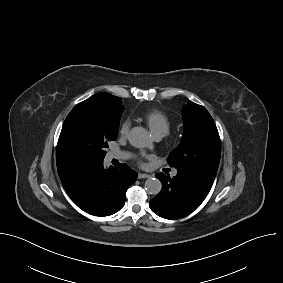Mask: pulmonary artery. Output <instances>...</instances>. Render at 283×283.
Here are the masks:
<instances>
[{"instance_id":"pulmonary-artery-1","label":"pulmonary artery","mask_w":283,"mask_h":283,"mask_svg":"<svg viewBox=\"0 0 283 283\" xmlns=\"http://www.w3.org/2000/svg\"><path fill=\"white\" fill-rule=\"evenodd\" d=\"M158 139L162 138L163 136H156ZM128 158V154L126 153H111L109 155V159H126ZM177 171H173L172 175L175 176Z\"/></svg>"}]
</instances>
